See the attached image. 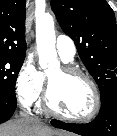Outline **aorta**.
I'll list each match as a JSON object with an SVG mask.
<instances>
[{
  "label": "aorta",
  "instance_id": "1",
  "mask_svg": "<svg viewBox=\"0 0 117 136\" xmlns=\"http://www.w3.org/2000/svg\"><path fill=\"white\" fill-rule=\"evenodd\" d=\"M55 39L53 17L49 13L37 17L36 44L39 54V65L44 70L54 69L58 66Z\"/></svg>",
  "mask_w": 117,
  "mask_h": 136
}]
</instances>
